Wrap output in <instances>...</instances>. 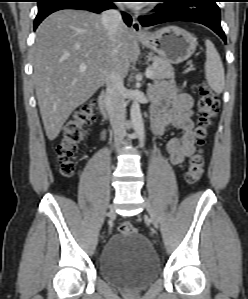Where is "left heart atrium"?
<instances>
[{
    "mask_svg": "<svg viewBox=\"0 0 248 299\" xmlns=\"http://www.w3.org/2000/svg\"><path fill=\"white\" fill-rule=\"evenodd\" d=\"M138 1H143V0H138ZM144 2H136V1H132V4L133 6H140L142 5Z\"/></svg>",
    "mask_w": 248,
    "mask_h": 299,
    "instance_id": "39dd6f15",
    "label": "left heart atrium"
}]
</instances>
